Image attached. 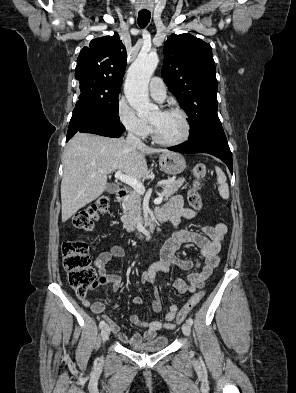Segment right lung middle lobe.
Here are the masks:
<instances>
[{"label":"right lung middle lobe","instance_id":"1","mask_svg":"<svg viewBox=\"0 0 296 393\" xmlns=\"http://www.w3.org/2000/svg\"><path fill=\"white\" fill-rule=\"evenodd\" d=\"M80 90L77 103L91 106L109 117L119 120V90H110L93 82L80 83Z\"/></svg>","mask_w":296,"mask_h":393}]
</instances>
